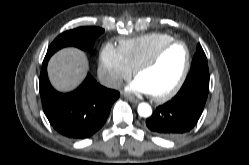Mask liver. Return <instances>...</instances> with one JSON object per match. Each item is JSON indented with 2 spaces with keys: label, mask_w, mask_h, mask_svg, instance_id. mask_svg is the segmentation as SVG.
Masks as SVG:
<instances>
[{
  "label": "liver",
  "mask_w": 249,
  "mask_h": 165,
  "mask_svg": "<svg viewBox=\"0 0 249 165\" xmlns=\"http://www.w3.org/2000/svg\"><path fill=\"white\" fill-rule=\"evenodd\" d=\"M88 60L77 48H64L54 54L48 64V75L53 87L60 92L74 90L86 76Z\"/></svg>",
  "instance_id": "1"
}]
</instances>
